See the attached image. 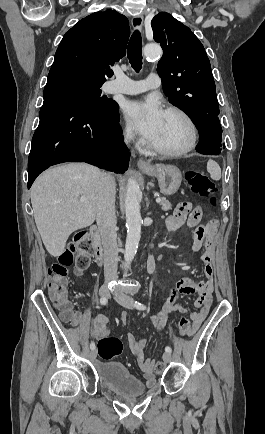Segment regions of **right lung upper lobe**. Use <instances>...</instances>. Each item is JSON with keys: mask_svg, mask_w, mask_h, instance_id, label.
I'll list each match as a JSON object with an SVG mask.
<instances>
[{"mask_svg": "<svg viewBox=\"0 0 265 434\" xmlns=\"http://www.w3.org/2000/svg\"><path fill=\"white\" fill-rule=\"evenodd\" d=\"M130 35L128 19L115 10L95 12L63 36L48 76L73 74L104 82L110 66L125 56Z\"/></svg>", "mask_w": 265, "mask_h": 434, "instance_id": "right-lung-upper-lobe-1", "label": "right lung upper lobe"}]
</instances>
